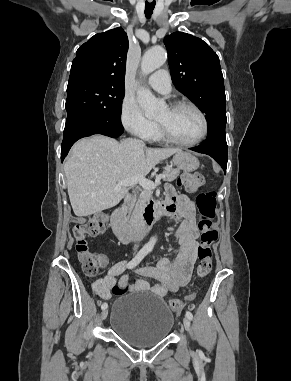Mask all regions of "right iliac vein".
<instances>
[{"label":"right iliac vein","instance_id":"obj_1","mask_svg":"<svg viewBox=\"0 0 291 381\" xmlns=\"http://www.w3.org/2000/svg\"><path fill=\"white\" fill-rule=\"evenodd\" d=\"M108 316V310L107 309H104L102 312H101V319L102 320H105Z\"/></svg>","mask_w":291,"mask_h":381}]
</instances>
